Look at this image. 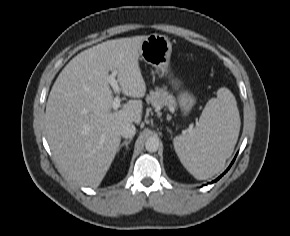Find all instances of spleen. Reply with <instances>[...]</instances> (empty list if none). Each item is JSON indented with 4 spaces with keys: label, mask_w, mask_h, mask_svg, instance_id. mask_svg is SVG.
<instances>
[{
    "label": "spleen",
    "mask_w": 290,
    "mask_h": 236,
    "mask_svg": "<svg viewBox=\"0 0 290 236\" xmlns=\"http://www.w3.org/2000/svg\"><path fill=\"white\" fill-rule=\"evenodd\" d=\"M240 116L234 95L227 88L210 99L195 128L174 138L175 151L183 166L199 180L221 172L236 145Z\"/></svg>",
    "instance_id": "1"
}]
</instances>
